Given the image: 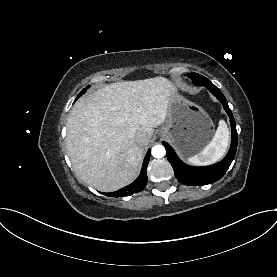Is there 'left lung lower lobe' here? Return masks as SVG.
Segmentation results:
<instances>
[{"mask_svg":"<svg viewBox=\"0 0 277 277\" xmlns=\"http://www.w3.org/2000/svg\"><path fill=\"white\" fill-rule=\"evenodd\" d=\"M201 86H205L222 103L225 111L227 112L230 118V124L232 129V140H231V147L226 157L219 163H216L211 166H205V167H192L184 164L177 157L176 153L168 143L166 142L162 143L166 148L167 159L174 169L176 178L181 183L185 185H190V186H201V185L211 184L213 182L218 181L220 178H222L235 157V153L237 149V141H238L236 123H235L234 117L228 106L227 100L222 94V92L220 91V89L217 88L209 80L205 83H202Z\"/></svg>","mask_w":277,"mask_h":277,"instance_id":"left-lung-lower-lobe-1","label":"left lung lower lobe"}]
</instances>
